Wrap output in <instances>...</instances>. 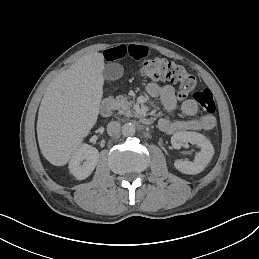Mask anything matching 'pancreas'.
<instances>
[{
  "mask_svg": "<svg viewBox=\"0 0 259 259\" xmlns=\"http://www.w3.org/2000/svg\"><path fill=\"white\" fill-rule=\"evenodd\" d=\"M130 98L125 96L116 97V104L118 105L119 113L127 117H136L140 118L141 115L132 109V103L129 102Z\"/></svg>",
  "mask_w": 259,
  "mask_h": 259,
  "instance_id": "obj_1",
  "label": "pancreas"
}]
</instances>
